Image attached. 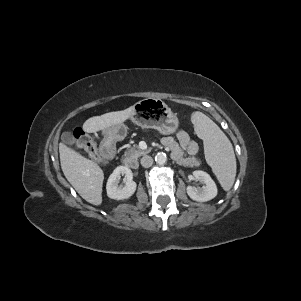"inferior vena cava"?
<instances>
[{
    "mask_svg": "<svg viewBox=\"0 0 301 301\" xmlns=\"http://www.w3.org/2000/svg\"><path fill=\"white\" fill-rule=\"evenodd\" d=\"M152 164H153V159L151 156L146 155L141 158V165L143 167L149 168L152 166Z\"/></svg>",
    "mask_w": 301,
    "mask_h": 301,
    "instance_id": "obj_1",
    "label": "inferior vena cava"
}]
</instances>
